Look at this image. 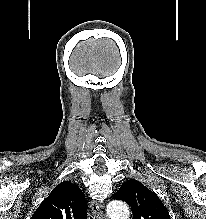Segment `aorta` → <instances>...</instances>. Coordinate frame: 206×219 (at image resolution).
Segmentation results:
<instances>
[{
  "instance_id": "762f6f07",
  "label": "aorta",
  "mask_w": 206,
  "mask_h": 219,
  "mask_svg": "<svg viewBox=\"0 0 206 219\" xmlns=\"http://www.w3.org/2000/svg\"><path fill=\"white\" fill-rule=\"evenodd\" d=\"M107 214L111 219H128L129 208L122 201H112L107 206Z\"/></svg>"
}]
</instances>
